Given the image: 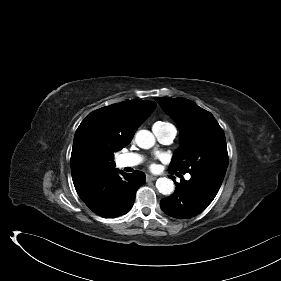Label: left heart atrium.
Segmentation results:
<instances>
[{
	"label": "left heart atrium",
	"mask_w": 281,
	"mask_h": 281,
	"mask_svg": "<svg viewBox=\"0 0 281 281\" xmlns=\"http://www.w3.org/2000/svg\"><path fill=\"white\" fill-rule=\"evenodd\" d=\"M152 168H155V165H152Z\"/></svg>",
	"instance_id": "39dd6f15"
}]
</instances>
